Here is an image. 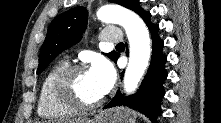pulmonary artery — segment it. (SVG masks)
Segmentation results:
<instances>
[{
	"label": "pulmonary artery",
	"mask_w": 221,
	"mask_h": 123,
	"mask_svg": "<svg viewBox=\"0 0 221 123\" xmlns=\"http://www.w3.org/2000/svg\"><path fill=\"white\" fill-rule=\"evenodd\" d=\"M101 40L107 43H119L122 35L118 28H106L101 32Z\"/></svg>",
	"instance_id": "1"
}]
</instances>
